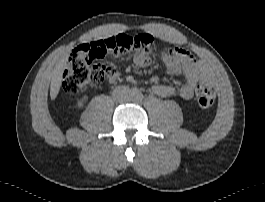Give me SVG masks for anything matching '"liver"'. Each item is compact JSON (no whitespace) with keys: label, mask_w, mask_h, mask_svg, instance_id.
<instances>
[{"label":"liver","mask_w":265,"mask_h":202,"mask_svg":"<svg viewBox=\"0 0 265 202\" xmlns=\"http://www.w3.org/2000/svg\"><path fill=\"white\" fill-rule=\"evenodd\" d=\"M68 61V55L63 56L58 63L55 65L52 74H51V84H50V97L54 100L60 90L62 83V74L66 68Z\"/></svg>","instance_id":"6515ba94"}]
</instances>
